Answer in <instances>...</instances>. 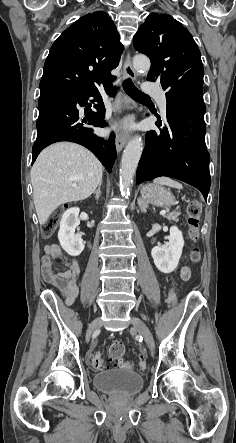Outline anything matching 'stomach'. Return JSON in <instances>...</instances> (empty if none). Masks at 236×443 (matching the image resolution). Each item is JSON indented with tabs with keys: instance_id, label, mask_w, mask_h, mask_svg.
Returning a JSON list of instances; mask_svg holds the SVG:
<instances>
[{
	"instance_id": "0dacf381",
	"label": "stomach",
	"mask_w": 236,
	"mask_h": 443,
	"mask_svg": "<svg viewBox=\"0 0 236 443\" xmlns=\"http://www.w3.org/2000/svg\"><path fill=\"white\" fill-rule=\"evenodd\" d=\"M142 198L158 207H167L175 203V197L173 194L158 184H147L141 189Z\"/></svg>"
}]
</instances>
